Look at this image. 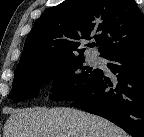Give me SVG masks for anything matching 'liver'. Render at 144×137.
Segmentation results:
<instances>
[{"label": "liver", "mask_w": 144, "mask_h": 137, "mask_svg": "<svg viewBox=\"0 0 144 137\" xmlns=\"http://www.w3.org/2000/svg\"><path fill=\"white\" fill-rule=\"evenodd\" d=\"M3 137H128L110 121L80 110L41 107L13 110Z\"/></svg>", "instance_id": "6515ba94"}]
</instances>
